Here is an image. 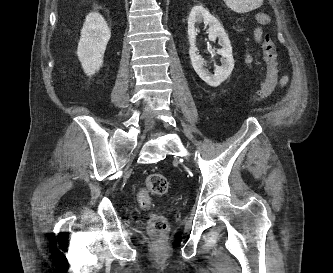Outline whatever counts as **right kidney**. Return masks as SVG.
Here are the masks:
<instances>
[{"label": "right kidney", "instance_id": "obj_1", "mask_svg": "<svg viewBox=\"0 0 333 273\" xmlns=\"http://www.w3.org/2000/svg\"><path fill=\"white\" fill-rule=\"evenodd\" d=\"M110 36L111 30L99 13L87 15L77 48L78 58L87 75L95 74L102 66Z\"/></svg>", "mask_w": 333, "mask_h": 273}]
</instances>
